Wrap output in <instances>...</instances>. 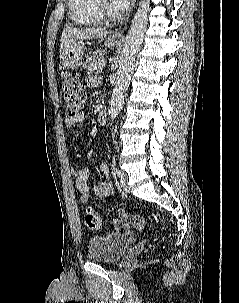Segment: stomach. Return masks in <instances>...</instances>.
<instances>
[{"mask_svg": "<svg viewBox=\"0 0 239 303\" xmlns=\"http://www.w3.org/2000/svg\"><path fill=\"white\" fill-rule=\"evenodd\" d=\"M118 40L108 38L107 46H115ZM85 51V44L82 41H76L65 49L61 50L60 61L61 64L68 69H75L80 66Z\"/></svg>", "mask_w": 239, "mask_h": 303, "instance_id": "stomach-1", "label": "stomach"}]
</instances>
